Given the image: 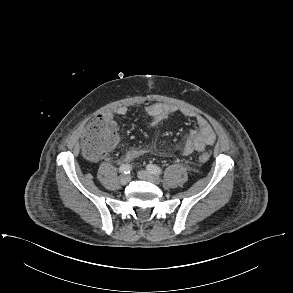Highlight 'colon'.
Listing matches in <instances>:
<instances>
[{
    "mask_svg": "<svg viewBox=\"0 0 293 293\" xmlns=\"http://www.w3.org/2000/svg\"><path fill=\"white\" fill-rule=\"evenodd\" d=\"M117 143V130L113 121L103 116H95L88 123L83 136V152L90 159L100 158ZM210 153L204 152L198 156V161H209Z\"/></svg>",
    "mask_w": 293,
    "mask_h": 293,
    "instance_id": "colon-1",
    "label": "colon"
}]
</instances>
